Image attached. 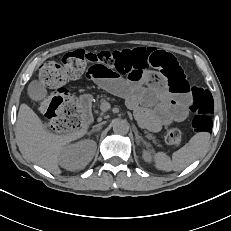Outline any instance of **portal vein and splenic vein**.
<instances>
[{
    "label": "portal vein and splenic vein",
    "mask_w": 231,
    "mask_h": 231,
    "mask_svg": "<svg viewBox=\"0 0 231 231\" xmlns=\"http://www.w3.org/2000/svg\"><path fill=\"white\" fill-rule=\"evenodd\" d=\"M110 108H111V105H110V103L107 102V101L102 102L101 105H100V109H101L102 112H106V111H108Z\"/></svg>",
    "instance_id": "1"
}]
</instances>
